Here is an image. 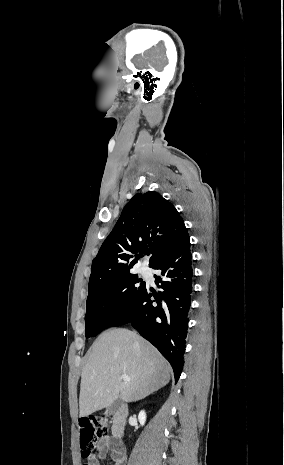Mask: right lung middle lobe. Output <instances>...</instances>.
Returning <instances> with one entry per match:
<instances>
[{"label":"right lung middle lobe","instance_id":"right-lung-middle-lobe-1","mask_svg":"<svg viewBox=\"0 0 284 465\" xmlns=\"http://www.w3.org/2000/svg\"><path fill=\"white\" fill-rule=\"evenodd\" d=\"M137 275L115 279L89 290L86 302V337H94L109 327L146 286Z\"/></svg>","mask_w":284,"mask_h":465}]
</instances>
